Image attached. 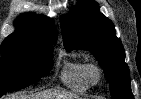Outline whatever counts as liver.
Listing matches in <instances>:
<instances>
[{
    "label": "liver",
    "mask_w": 141,
    "mask_h": 99,
    "mask_svg": "<svg viewBox=\"0 0 141 99\" xmlns=\"http://www.w3.org/2000/svg\"><path fill=\"white\" fill-rule=\"evenodd\" d=\"M7 99H79V96L59 90H43L30 96H11Z\"/></svg>",
    "instance_id": "6515ba94"
}]
</instances>
